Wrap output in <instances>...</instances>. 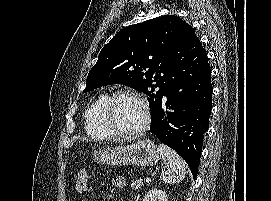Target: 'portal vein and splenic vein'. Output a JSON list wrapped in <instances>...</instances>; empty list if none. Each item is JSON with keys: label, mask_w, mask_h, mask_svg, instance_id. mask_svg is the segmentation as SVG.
<instances>
[{"label": "portal vein and splenic vein", "mask_w": 271, "mask_h": 201, "mask_svg": "<svg viewBox=\"0 0 271 201\" xmlns=\"http://www.w3.org/2000/svg\"><path fill=\"white\" fill-rule=\"evenodd\" d=\"M150 180H151V179H150L149 177H146V178H145V181H146V182H149Z\"/></svg>", "instance_id": "obj_1"}]
</instances>
